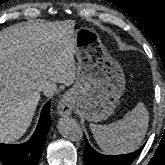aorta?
Returning <instances> with one entry per match:
<instances>
[{
    "label": "aorta",
    "instance_id": "762f6f07",
    "mask_svg": "<svg viewBox=\"0 0 165 165\" xmlns=\"http://www.w3.org/2000/svg\"><path fill=\"white\" fill-rule=\"evenodd\" d=\"M59 130L62 136L72 142H80L83 139V131L73 119H67L59 124Z\"/></svg>",
    "mask_w": 165,
    "mask_h": 165
}]
</instances>
